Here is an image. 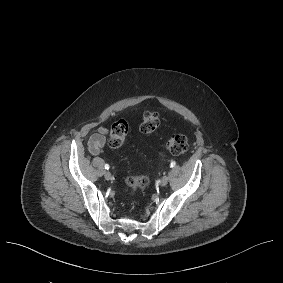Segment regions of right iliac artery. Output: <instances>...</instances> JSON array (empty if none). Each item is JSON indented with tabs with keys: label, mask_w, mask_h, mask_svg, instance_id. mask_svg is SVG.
Segmentation results:
<instances>
[{
	"label": "right iliac artery",
	"mask_w": 283,
	"mask_h": 283,
	"mask_svg": "<svg viewBox=\"0 0 283 283\" xmlns=\"http://www.w3.org/2000/svg\"><path fill=\"white\" fill-rule=\"evenodd\" d=\"M105 169H109V165L108 164H105Z\"/></svg>",
	"instance_id": "right-iliac-artery-1"
}]
</instances>
